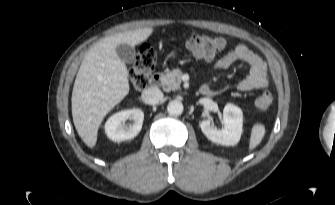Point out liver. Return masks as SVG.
I'll list each match as a JSON object with an SVG mask.
<instances>
[{
    "label": "liver",
    "mask_w": 335,
    "mask_h": 205,
    "mask_svg": "<svg viewBox=\"0 0 335 205\" xmlns=\"http://www.w3.org/2000/svg\"><path fill=\"white\" fill-rule=\"evenodd\" d=\"M153 33L141 28L106 37L86 53L78 70L72 92V117L75 128L90 148L97 142L104 117L129 93L128 71L116 46H135Z\"/></svg>",
    "instance_id": "1"
}]
</instances>
